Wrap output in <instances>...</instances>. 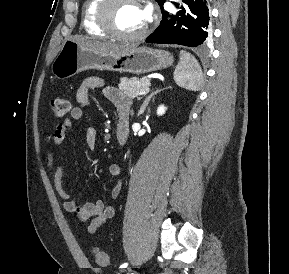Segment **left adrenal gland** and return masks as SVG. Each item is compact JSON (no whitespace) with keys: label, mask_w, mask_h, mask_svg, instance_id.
Returning <instances> with one entry per match:
<instances>
[{"label":"left adrenal gland","mask_w":289,"mask_h":274,"mask_svg":"<svg viewBox=\"0 0 289 274\" xmlns=\"http://www.w3.org/2000/svg\"><path fill=\"white\" fill-rule=\"evenodd\" d=\"M170 88H171V87H168V88H166V89H170ZM163 90H164V89H160V90L157 89L156 91L151 92L150 95H148V96L145 98V100H144L143 104L141 105L140 110H139V112H138V116H140L141 114L144 113V111H145V109L147 108L150 100H151V99L154 100L155 95H157L159 92H161V91H163Z\"/></svg>","instance_id":"1"}]
</instances>
